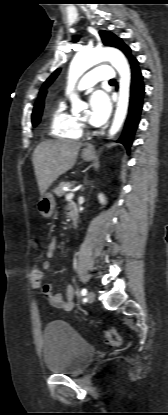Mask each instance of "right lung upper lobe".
<instances>
[{"label": "right lung upper lobe", "instance_id": "cb5924a9", "mask_svg": "<svg viewBox=\"0 0 168 415\" xmlns=\"http://www.w3.org/2000/svg\"><path fill=\"white\" fill-rule=\"evenodd\" d=\"M44 96H45V94L41 95V96L39 97V99L37 100V102H36V104H35V107H34V111H33V113L38 112V111H40V110H42V109H43V105H44Z\"/></svg>", "mask_w": 168, "mask_h": 415}]
</instances>
